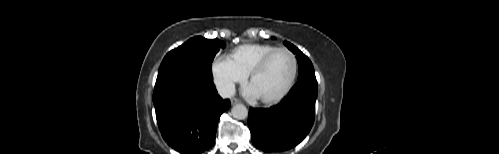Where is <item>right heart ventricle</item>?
Wrapping results in <instances>:
<instances>
[{"mask_svg": "<svg viewBox=\"0 0 499 154\" xmlns=\"http://www.w3.org/2000/svg\"><path fill=\"white\" fill-rule=\"evenodd\" d=\"M277 47L270 44H244L233 49L229 59L246 75L269 52Z\"/></svg>", "mask_w": 499, "mask_h": 154, "instance_id": "right-heart-ventricle-1", "label": "right heart ventricle"}]
</instances>
